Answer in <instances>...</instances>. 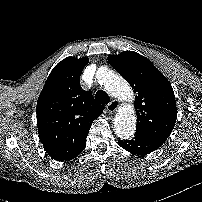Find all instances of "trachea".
I'll list each match as a JSON object with an SVG mask.
<instances>
[{
	"label": "trachea",
	"instance_id": "obj_1",
	"mask_svg": "<svg viewBox=\"0 0 202 202\" xmlns=\"http://www.w3.org/2000/svg\"><path fill=\"white\" fill-rule=\"evenodd\" d=\"M95 100L98 103L103 104V105H106V104H108L110 102L109 96L107 95L106 92H104L102 90H99V91L96 92Z\"/></svg>",
	"mask_w": 202,
	"mask_h": 202
}]
</instances>
